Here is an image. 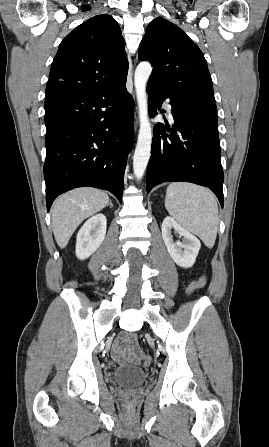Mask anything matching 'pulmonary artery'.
<instances>
[{"label":"pulmonary artery","instance_id":"pulmonary-artery-1","mask_svg":"<svg viewBox=\"0 0 269 447\" xmlns=\"http://www.w3.org/2000/svg\"><path fill=\"white\" fill-rule=\"evenodd\" d=\"M164 106H165V108H166V110H167V112L169 114L170 119L172 120L173 119L172 112H171L172 111V106L170 105L169 100L165 101Z\"/></svg>","mask_w":269,"mask_h":447}]
</instances>
